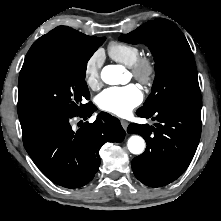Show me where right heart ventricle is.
<instances>
[{"label": "right heart ventricle", "instance_id": "right-heart-ventricle-1", "mask_svg": "<svg viewBox=\"0 0 221 221\" xmlns=\"http://www.w3.org/2000/svg\"><path fill=\"white\" fill-rule=\"evenodd\" d=\"M109 56L125 66L131 67L140 57V49L132 44L113 41L108 45Z\"/></svg>", "mask_w": 221, "mask_h": 221}]
</instances>
